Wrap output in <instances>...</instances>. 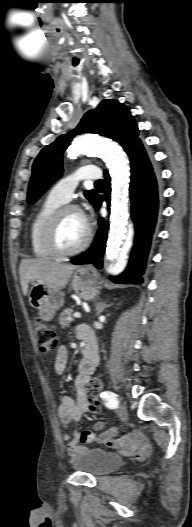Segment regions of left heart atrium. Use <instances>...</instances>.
I'll use <instances>...</instances> for the list:
<instances>
[{
  "label": "left heart atrium",
  "instance_id": "left-heart-atrium-1",
  "mask_svg": "<svg viewBox=\"0 0 192 527\" xmlns=\"http://www.w3.org/2000/svg\"><path fill=\"white\" fill-rule=\"evenodd\" d=\"M82 217H83L84 221H85L86 223H88V222H87V218H86L83 214H82Z\"/></svg>",
  "mask_w": 192,
  "mask_h": 527
}]
</instances>
